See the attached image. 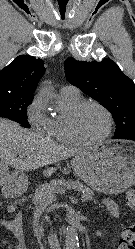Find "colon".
Wrapping results in <instances>:
<instances>
[{"label": "colon", "instance_id": "1", "mask_svg": "<svg viewBox=\"0 0 135 249\" xmlns=\"http://www.w3.org/2000/svg\"><path fill=\"white\" fill-rule=\"evenodd\" d=\"M126 201L131 210L135 212V190L128 191ZM118 249H135V224L124 228L118 241Z\"/></svg>", "mask_w": 135, "mask_h": 249}]
</instances>
